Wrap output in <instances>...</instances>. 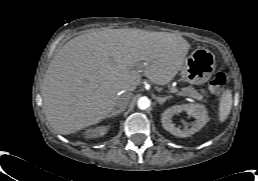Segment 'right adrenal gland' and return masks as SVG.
Returning a JSON list of instances; mask_svg holds the SVG:
<instances>
[{"mask_svg":"<svg viewBox=\"0 0 258 181\" xmlns=\"http://www.w3.org/2000/svg\"><path fill=\"white\" fill-rule=\"evenodd\" d=\"M124 110H119V109H114L108 116L107 118H111L113 116L119 115L123 112Z\"/></svg>","mask_w":258,"mask_h":181,"instance_id":"right-adrenal-gland-1","label":"right adrenal gland"}]
</instances>
